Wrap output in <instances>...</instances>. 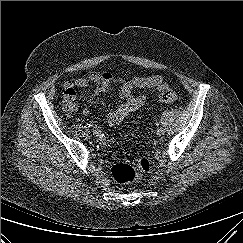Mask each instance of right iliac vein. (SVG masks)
<instances>
[{
    "instance_id": "obj_1",
    "label": "right iliac vein",
    "mask_w": 243,
    "mask_h": 243,
    "mask_svg": "<svg viewBox=\"0 0 243 243\" xmlns=\"http://www.w3.org/2000/svg\"><path fill=\"white\" fill-rule=\"evenodd\" d=\"M82 134L85 138H90V136H91V133L88 129L83 130Z\"/></svg>"
}]
</instances>
